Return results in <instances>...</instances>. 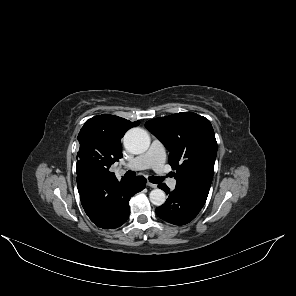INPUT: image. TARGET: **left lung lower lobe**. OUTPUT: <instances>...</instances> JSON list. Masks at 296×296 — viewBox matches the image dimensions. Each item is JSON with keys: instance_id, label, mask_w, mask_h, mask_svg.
I'll use <instances>...</instances> for the list:
<instances>
[{"instance_id": "obj_1", "label": "left lung lower lobe", "mask_w": 296, "mask_h": 296, "mask_svg": "<svg viewBox=\"0 0 296 296\" xmlns=\"http://www.w3.org/2000/svg\"><path fill=\"white\" fill-rule=\"evenodd\" d=\"M169 195L166 202L156 208V214L166 222L184 225L192 221L204 206L209 189L179 188L171 191L165 184H159Z\"/></svg>"}]
</instances>
